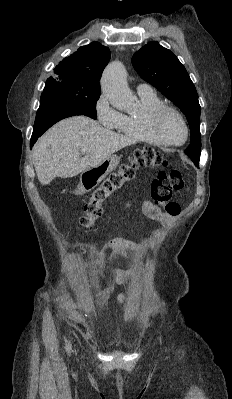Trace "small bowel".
Listing matches in <instances>:
<instances>
[{"label":"small bowel","instance_id":"1","mask_svg":"<svg viewBox=\"0 0 232 399\" xmlns=\"http://www.w3.org/2000/svg\"><path fill=\"white\" fill-rule=\"evenodd\" d=\"M145 212L149 215H158L159 208L151 202H146L144 206ZM119 253L121 256L129 258L134 257L139 260H150L151 256L144 250L137 248L129 240H119L108 243L105 248L96 254L95 270L101 273L105 278H107V285L101 290V292L93 298V300L79 308H77V314L80 320L84 318V311L94 307L99 313H107L112 292L116 284L124 283H137L140 278L135 274H127L124 276L115 275L111 272L110 268L107 266V260L113 253ZM135 294L131 292H122L117 296L119 311L118 315L123 316L125 311V300L127 298L134 297ZM111 324L110 317H105L103 323L100 327V332L102 333V339L108 340L109 337L114 334L118 328L116 326L109 328Z\"/></svg>","mask_w":232,"mask_h":399}]
</instances>
